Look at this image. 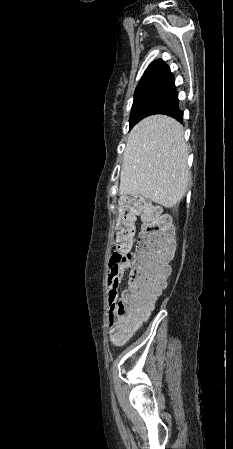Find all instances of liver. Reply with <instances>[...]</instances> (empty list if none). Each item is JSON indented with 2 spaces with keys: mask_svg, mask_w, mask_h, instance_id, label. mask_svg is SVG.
Masks as SVG:
<instances>
[{
  "mask_svg": "<svg viewBox=\"0 0 233 449\" xmlns=\"http://www.w3.org/2000/svg\"><path fill=\"white\" fill-rule=\"evenodd\" d=\"M183 127L165 115L140 121L129 133L123 156L119 193L140 195L173 208L191 181Z\"/></svg>",
  "mask_w": 233,
  "mask_h": 449,
  "instance_id": "obj_1",
  "label": "liver"
}]
</instances>
